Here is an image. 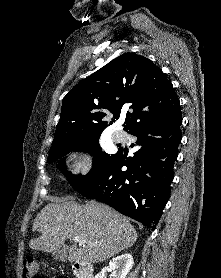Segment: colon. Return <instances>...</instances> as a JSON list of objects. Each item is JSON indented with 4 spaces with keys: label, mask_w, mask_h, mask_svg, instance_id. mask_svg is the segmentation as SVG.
<instances>
[{
    "label": "colon",
    "mask_w": 221,
    "mask_h": 278,
    "mask_svg": "<svg viewBox=\"0 0 221 278\" xmlns=\"http://www.w3.org/2000/svg\"><path fill=\"white\" fill-rule=\"evenodd\" d=\"M42 267L41 265L31 256L25 257L22 265L23 278H43L41 276ZM53 278H66L65 276L59 275Z\"/></svg>",
    "instance_id": "1"
}]
</instances>
